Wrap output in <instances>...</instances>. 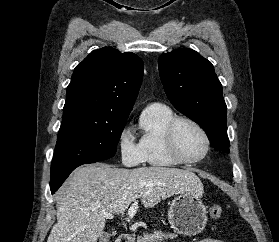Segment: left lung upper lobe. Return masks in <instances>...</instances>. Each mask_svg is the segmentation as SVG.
<instances>
[{"label":"left lung upper lobe","mask_w":279,"mask_h":242,"mask_svg":"<svg viewBox=\"0 0 279 242\" xmlns=\"http://www.w3.org/2000/svg\"><path fill=\"white\" fill-rule=\"evenodd\" d=\"M158 66L173 106L201 126L214 148L229 153L227 107L211 62L192 49L181 48L162 54Z\"/></svg>","instance_id":"1"}]
</instances>
